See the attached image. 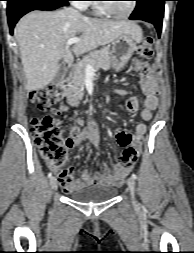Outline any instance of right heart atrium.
Segmentation results:
<instances>
[{"label":"right heart atrium","mask_w":194,"mask_h":253,"mask_svg":"<svg viewBox=\"0 0 194 253\" xmlns=\"http://www.w3.org/2000/svg\"><path fill=\"white\" fill-rule=\"evenodd\" d=\"M87 0H76L75 6L78 8H84L87 5Z\"/></svg>","instance_id":"right-heart-atrium-1"}]
</instances>
